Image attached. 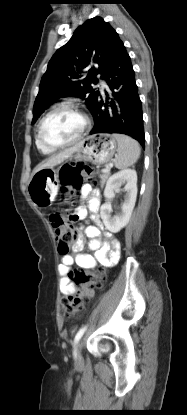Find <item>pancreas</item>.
I'll return each mask as SVG.
<instances>
[{"mask_svg": "<svg viewBox=\"0 0 187 415\" xmlns=\"http://www.w3.org/2000/svg\"><path fill=\"white\" fill-rule=\"evenodd\" d=\"M109 175H110V173H109V172H107V173L101 174V175L99 176V178L101 179V180H100L101 188H103V187H104V185H105V183H106V181H107V179H108Z\"/></svg>", "mask_w": 187, "mask_h": 415, "instance_id": "1", "label": "pancreas"}]
</instances>
